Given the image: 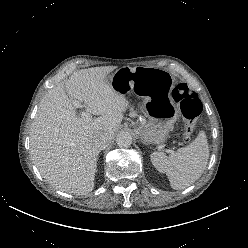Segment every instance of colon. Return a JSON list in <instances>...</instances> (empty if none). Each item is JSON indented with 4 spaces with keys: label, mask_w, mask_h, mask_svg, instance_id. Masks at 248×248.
<instances>
[{
    "label": "colon",
    "mask_w": 248,
    "mask_h": 248,
    "mask_svg": "<svg viewBox=\"0 0 248 248\" xmlns=\"http://www.w3.org/2000/svg\"><path fill=\"white\" fill-rule=\"evenodd\" d=\"M172 96L180 104L181 112L186 119L184 139L189 141L194 132L197 117L201 113L202 104L197 94L182 81L176 83Z\"/></svg>",
    "instance_id": "colon-1"
}]
</instances>
